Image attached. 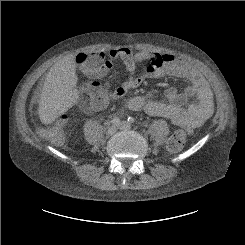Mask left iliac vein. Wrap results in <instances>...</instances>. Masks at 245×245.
Segmentation results:
<instances>
[{
	"mask_svg": "<svg viewBox=\"0 0 245 245\" xmlns=\"http://www.w3.org/2000/svg\"><path fill=\"white\" fill-rule=\"evenodd\" d=\"M118 128L120 130H131L132 126H131V124L129 122L122 121V122L119 123Z\"/></svg>",
	"mask_w": 245,
	"mask_h": 245,
	"instance_id": "obj_1",
	"label": "left iliac vein"
}]
</instances>
